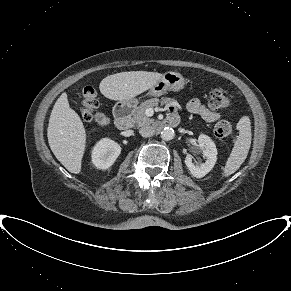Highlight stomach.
I'll return each mask as SVG.
<instances>
[{"mask_svg": "<svg viewBox=\"0 0 291 291\" xmlns=\"http://www.w3.org/2000/svg\"><path fill=\"white\" fill-rule=\"evenodd\" d=\"M185 84L184 77L180 73L176 72H166L163 74L162 78L149 89L147 96H154L159 97L161 95H164L168 91H180L183 89ZM137 98H130L126 100L119 101V104L122 107H129L134 108L138 104Z\"/></svg>", "mask_w": 291, "mask_h": 291, "instance_id": "0dacf381", "label": "stomach"}]
</instances>
